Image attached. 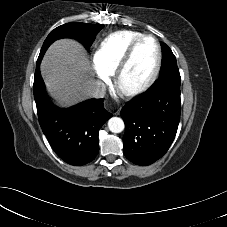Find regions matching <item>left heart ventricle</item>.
<instances>
[{
	"mask_svg": "<svg viewBox=\"0 0 227 227\" xmlns=\"http://www.w3.org/2000/svg\"><path fill=\"white\" fill-rule=\"evenodd\" d=\"M157 60L155 42L144 39L136 48L132 60L122 77V86L131 88L145 81L154 70Z\"/></svg>",
	"mask_w": 227,
	"mask_h": 227,
	"instance_id": "b2bd125f",
	"label": "left heart ventricle"
}]
</instances>
